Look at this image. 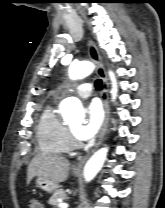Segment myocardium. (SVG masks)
<instances>
[{
    "label": "myocardium",
    "instance_id": "myocardium-1",
    "mask_svg": "<svg viewBox=\"0 0 165 208\" xmlns=\"http://www.w3.org/2000/svg\"><path fill=\"white\" fill-rule=\"evenodd\" d=\"M67 134L70 148L80 147V143L77 140L75 133L70 128H67Z\"/></svg>",
    "mask_w": 165,
    "mask_h": 208
}]
</instances>
